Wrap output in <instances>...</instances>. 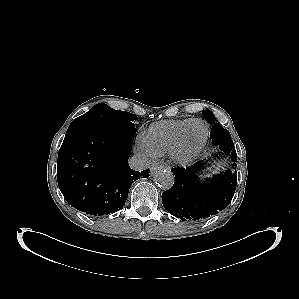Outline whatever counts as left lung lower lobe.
Wrapping results in <instances>:
<instances>
[{"instance_id": "1", "label": "left lung lower lobe", "mask_w": 299, "mask_h": 299, "mask_svg": "<svg viewBox=\"0 0 299 299\" xmlns=\"http://www.w3.org/2000/svg\"><path fill=\"white\" fill-rule=\"evenodd\" d=\"M217 147L230 154L234 166L237 167L233 141L222 142ZM202 165L199 161L186 168H173L174 185L162 194L164 208L183 221L205 219L222 211L235 193L237 171L227 170L207 183H201L197 174Z\"/></svg>"}]
</instances>
